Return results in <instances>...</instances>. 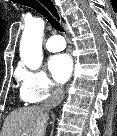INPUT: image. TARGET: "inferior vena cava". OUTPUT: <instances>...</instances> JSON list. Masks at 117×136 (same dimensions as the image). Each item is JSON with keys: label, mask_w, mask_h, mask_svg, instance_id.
Here are the masks:
<instances>
[{"label": "inferior vena cava", "mask_w": 117, "mask_h": 136, "mask_svg": "<svg viewBox=\"0 0 117 136\" xmlns=\"http://www.w3.org/2000/svg\"><path fill=\"white\" fill-rule=\"evenodd\" d=\"M64 98V90L61 85H54L50 97L41 105L46 112L58 106Z\"/></svg>", "instance_id": "1"}]
</instances>
